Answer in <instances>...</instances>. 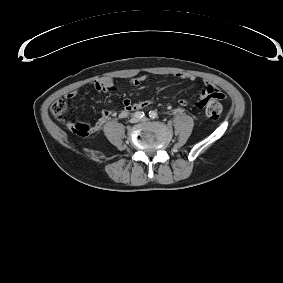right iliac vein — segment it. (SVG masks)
Returning a JSON list of instances; mask_svg holds the SVG:
<instances>
[{"instance_id": "right-iliac-vein-1", "label": "right iliac vein", "mask_w": 283, "mask_h": 283, "mask_svg": "<svg viewBox=\"0 0 283 283\" xmlns=\"http://www.w3.org/2000/svg\"><path fill=\"white\" fill-rule=\"evenodd\" d=\"M130 122H131V123H136V122H138V119L134 117V118H132V119L130 120Z\"/></svg>"}]
</instances>
